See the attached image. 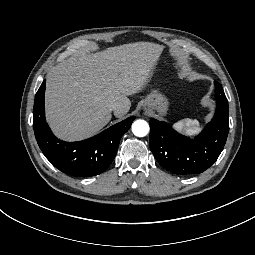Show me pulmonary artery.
I'll return each mask as SVG.
<instances>
[{"label": "pulmonary artery", "instance_id": "e3ab8cb5", "mask_svg": "<svg viewBox=\"0 0 255 255\" xmlns=\"http://www.w3.org/2000/svg\"><path fill=\"white\" fill-rule=\"evenodd\" d=\"M127 107H125L122 111V114H126L127 113ZM123 127L122 126H119L118 129H122Z\"/></svg>", "mask_w": 255, "mask_h": 255}]
</instances>
